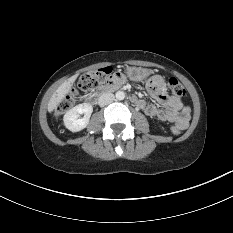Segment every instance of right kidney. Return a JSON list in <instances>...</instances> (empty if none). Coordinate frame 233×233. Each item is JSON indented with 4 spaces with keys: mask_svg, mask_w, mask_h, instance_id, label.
Wrapping results in <instances>:
<instances>
[{
    "mask_svg": "<svg viewBox=\"0 0 233 233\" xmlns=\"http://www.w3.org/2000/svg\"><path fill=\"white\" fill-rule=\"evenodd\" d=\"M92 112L93 107L89 103L79 104L65 113L63 117L64 125L72 132L81 131L89 124ZM80 114H84L83 118H80Z\"/></svg>",
    "mask_w": 233,
    "mask_h": 233,
    "instance_id": "1",
    "label": "right kidney"
}]
</instances>
